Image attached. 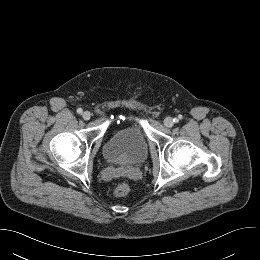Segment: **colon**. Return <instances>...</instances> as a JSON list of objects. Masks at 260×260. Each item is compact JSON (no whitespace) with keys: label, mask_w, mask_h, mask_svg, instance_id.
<instances>
[{"label":"colon","mask_w":260,"mask_h":260,"mask_svg":"<svg viewBox=\"0 0 260 260\" xmlns=\"http://www.w3.org/2000/svg\"><path fill=\"white\" fill-rule=\"evenodd\" d=\"M130 192V186L127 182H121L114 190V196L117 198L125 197Z\"/></svg>","instance_id":"colon-1"}]
</instances>
